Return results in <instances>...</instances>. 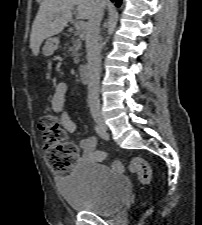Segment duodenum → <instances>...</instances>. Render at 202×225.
<instances>
[{"label":"duodenum","mask_w":202,"mask_h":225,"mask_svg":"<svg viewBox=\"0 0 202 225\" xmlns=\"http://www.w3.org/2000/svg\"><path fill=\"white\" fill-rule=\"evenodd\" d=\"M80 74L85 83H87L90 79V67L88 64H83L80 67Z\"/></svg>","instance_id":"1"}]
</instances>
